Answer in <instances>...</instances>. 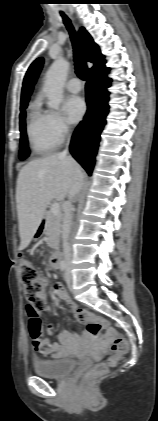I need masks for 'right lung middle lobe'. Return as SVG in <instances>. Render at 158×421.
Returning a JSON list of instances; mask_svg holds the SVG:
<instances>
[{"mask_svg":"<svg viewBox=\"0 0 158 421\" xmlns=\"http://www.w3.org/2000/svg\"><path fill=\"white\" fill-rule=\"evenodd\" d=\"M27 104L21 105L20 110V132H21V139H20V150H19V158L21 160L26 159L29 156V149H28V141L26 135V128H25V109Z\"/></svg>","mask_w":158,"mask_h":421,"instance_id":"1","label":"right lung middle lobe"}]
</instances>
